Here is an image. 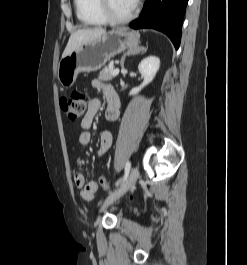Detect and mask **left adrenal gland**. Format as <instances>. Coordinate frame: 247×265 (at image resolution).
I'll list each match as a JSON object with an SVG mask.
<instances>
[{
	"label": "left adrenal gland",
	"mask_w": 247,
	"mask_h": 265,
	"mask_svg": "<svg viewBox=\"0 0 247 265\" xmlns=\"http://www.w3.org/2000/svg\"><path fill=\"white\" fill-rule=\"evenodd\" d=\"M146 50L147 48L145 47H136V48L129 49L126 53H124V55L121 58V63H120L121 68H124V62L127 56H134L140 53L142 54L146 52Z\"/></svg>",
	"instance_id": "a2214340"
}]
</instances>
